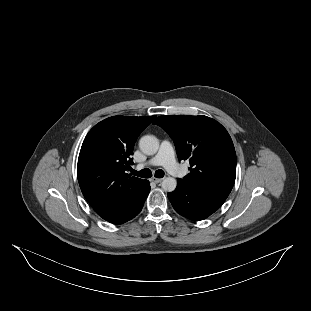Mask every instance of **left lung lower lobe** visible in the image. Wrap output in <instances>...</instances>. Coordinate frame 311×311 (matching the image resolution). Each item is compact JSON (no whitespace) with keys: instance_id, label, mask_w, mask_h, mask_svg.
Returning <instances> with one entry per match:
<instances>
[{"instance_id":"left-lung-lower-lobe-1","label":"left lung lower lobe","mask_w":311,"mask_h":311,"mask_svg":"<svg viewBox=\"0 0 311 311\" xmlns=\"http://www.w3.org/2000/svg\"><path fill=\"white\" fill-rule=\"evenodd\" d=\"M227 194L203 190L177 181L176 189L168 193L174 209L190 220H203L214 213L226 200Z\"/></svg>"}]
</instances>
